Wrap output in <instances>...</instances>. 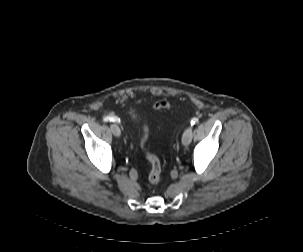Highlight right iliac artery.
Masks as SVG:
<instances>
[{
  "instance_id": "right-iliac-artery-1",
  "label": "right iliac artery",
  "mask_w": 303,
  "mask_h": 252,
  "mask_svg": "<svg viewBox=\"0 0 303 252\" xmlns=\"http://www.w3.org/2000/svg\"><path fill=\"white\" fill-rule=\"evenodd\" d=\"M104 122H108V121H116L120 123V119L116 116H107L103 119Z\"/></svg>"
}]
</instances>
